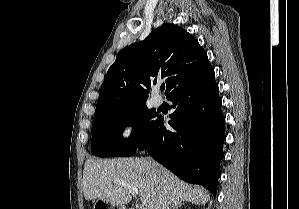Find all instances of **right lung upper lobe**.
Instances as JSON below:
<instances>
[{"label": "right lung upper lobe", "mask_w": 299, "mask_h": 209, "mask_svg": "<svg viewBox=\"0 0 299 209\" xmlns=\"http://www.w3.org/2000/svg\"><path fill=\"white\" fill-rule=\"evenodd\" d=\"M214 72L204 49L186 30L164 23L122 49L102 84L95 115L146 104L151 85L164 79L167 95L185 79Z\"/></svg>", "instance_id": "cb5924a9"}]
</instances>
